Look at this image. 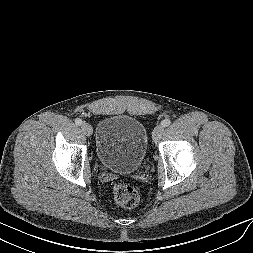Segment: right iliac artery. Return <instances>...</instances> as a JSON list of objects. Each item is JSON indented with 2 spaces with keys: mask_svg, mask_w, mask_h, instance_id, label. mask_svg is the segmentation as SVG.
<instances>
[{
  "mask_svg": "<svg viewBox=\"0 0 253 253\" xmlns=\"http://www.w3.org/2000/svg\"><path fill=\"white\" fill-rule=\"evenodd\" d=\"M82 123H83V122H82L81 119H79V118L75 119V124H76V125H79V126H80V125H82Z\"/></svg>",
  "mask_w": 253,
  "mask_h": 253,
  "instance_id": "right-iliac-artery-1",
  "label": "right iliac artery"
}]
</instances>
